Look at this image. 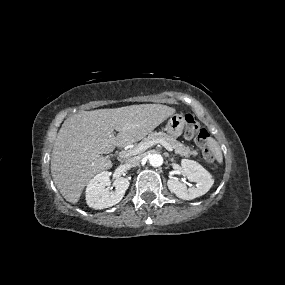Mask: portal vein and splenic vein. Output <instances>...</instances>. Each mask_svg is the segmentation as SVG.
I'll return each mask as SVG.
<instances>
[{"mask_svg":"<svg viewBox=\"0 0 285 285\" xmlns=\"http://www.w3.org/2000/svg\"><path fill=\"white\" fill-rule=\"evenodd\" d=\"M156 144H161L170 152L173 151V148L167 142H165L162 139H156V140L149 141L147 143L140 144L137 150L123 151L120 153V157H128V156L134 155L136 154L137 151H145L147 148L153 145H156Z\"/></svg>","mask_w":285,"mask_h":285,"instance_id":"portal-vein-and-splenic-vein-1","label":"portal vein and splenic vein"}]
</instances>
